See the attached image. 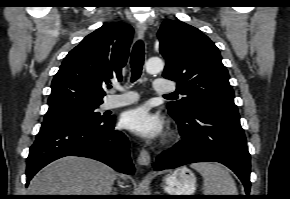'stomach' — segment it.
Instances as JSON below:
<instances>
[{"label":"stomach","instance_id":"0dacf381","mask_svg":"<svg viewBox=\"0 0 290 199\" xmlns=\"http://www.w3.org/2000/svg\"><path fill=\"white\" fill-rule=\"evenodd\" d=\"M165 182L169 195H192L196 189V177L186 167L175 170Z\"/></svg>","mask_w":290,"mask_h":199}]
</instances>
